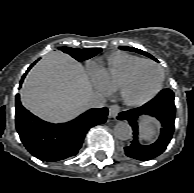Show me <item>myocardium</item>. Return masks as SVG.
<instances>
[{"instance_id":"1","label":"myocardium","mask_w":194,"mask_h":193,"mask_svg":"<svg viewBox=\"0 0 194 193\" xmlns=\"http://www.w3.org/2000/svg\"><path fill=\"white\" fill-rule=\"evenodd\" d=\"M144 64H151L153 66H155L160 73V78H159V82L157 87L155 88V90L147 97L140 99V100H131L128 99L125 94H124V89L126 87V85L130 82V80L132 79L133 75L135 74V72L137 71V69L144 65ZM164 80H165V72L164 69L162 68V66L151 59H143L139 62H137L136 64H134L124 75L123 77L120 79L117 87H116V92L119 96V98L121 99V101L128 105V106H141L144 105L148 102H150L151 100H153L162 90L163 85H164Z\"/></svg>"}]
</instances>
